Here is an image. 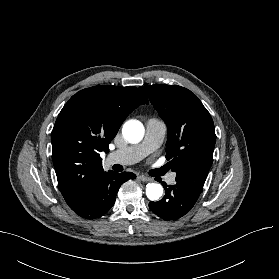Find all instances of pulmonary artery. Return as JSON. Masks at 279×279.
<instances>
[{"label": "pulmonary artery", "mask_w": 279, "mask_h": 279, "mask_svg": "<svg viewBox=\"0 0 279 279\" xmlns=\"http://www.w3.org/2000/svg\"><path fill=\"white\" fill-rule=\"evenodd\" d=\"M167 132L166 124L157 118H150L146 122V133L140 144L116 150L109 154L108 162L121 165L136 163L157 149L164 140ZM176 174L171 173L167 181L175 183Z\"/></svg>", "instance_id": "e3ab8cb5"}]
</instances>
